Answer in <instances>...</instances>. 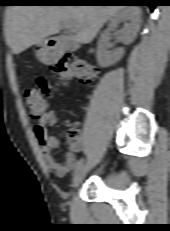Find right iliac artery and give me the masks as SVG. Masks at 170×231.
<instances>
[{"label":"right iliac artery","instance_id":"right-iliac-artery-1","mask_svg":"<svg viewBox=\"0 0 170 231\" xmlns=\"http://www.w3.org/2000/svg\"><path fill=\"white\" fill-rule=\"evenodd\" d=\"M82 164H83V160L78 161L75 170L79 169L82 166Z\"/></svg>","mask_w":170,"mask_h":231}]
</instances>
